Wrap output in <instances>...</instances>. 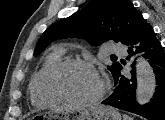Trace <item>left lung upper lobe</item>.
Segmentation results:
<instances>
[{
  "instance_id": "left-lung-upper-lobe-1",
  "label": "left lung upper lobe",
  "mask_w": 165,
  "mask_h": 120,
  "mask_svg": "<svg viewBox=\"0 0 165 120\" xmlns=\"http://www.w3.org/2000/svg\"><path fill=\"white\" fill-rule=\"evenodd\" d=\"M141 18L142 14L129 0H93L82 10L48 27L34 55L40 54L52 41L66 37L84 38L95 46L108 40L125 44ZM119 68V63L108 66L114 82Z\"/></svg>"
}]
</instances>
